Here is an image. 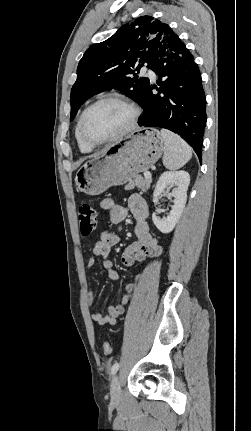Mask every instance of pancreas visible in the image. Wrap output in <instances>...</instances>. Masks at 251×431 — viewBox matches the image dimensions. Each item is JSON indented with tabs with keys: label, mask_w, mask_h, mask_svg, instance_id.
Segmentation results:
<instances>
[{
	"label": "pancreas",
	"mask_w": 251,
	"mask_h": 431,
	"mask_svg": "<svg viewBox=\"0 0 251 431\" xmlns=\"http://www.w3.org/2000/svg\"><path fill=\"white\" fill-rule=\"evenodd\" d=\"M151 182H152L151 178H145V177H142L141 175H136L125 186V189L131 190L136 186L140 188L143 192H145L150 188Z\"/></svg>",
	"instance_id": "1"
}]
</instances>
